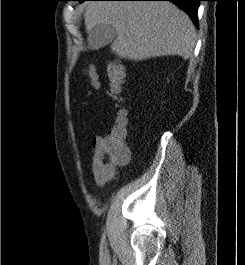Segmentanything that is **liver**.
Returning a JSON list of instances; mask_svg holds the SVG:
<instances>
[{"instance_id":"1","label":"liver","mask_w":245,"mask_h":265,"mask_svg":"<svg viewBox=\"0 0 245 265\" xmlns=\"http://www.w3.org/2000/svg\"><path fill=\"white\" fill-rule=\"evenodd\" d=\"M89 32L97 24L113 26L111 45L119 56L135 61L151 57L192 56L196 29L190 17L167 1H90L85 8Z\"/></svg>"}]
</instances>
